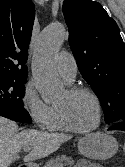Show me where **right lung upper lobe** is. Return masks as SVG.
<instances>
[{"instance_id": "1", "label": "right lung upper lobe", "mask_w": 125, "mask_h": 167, "mask_svg": "<svg viewBox=\"0 0 125 167\" xmlns=\"http://www.w3.org/2000/svg\"><path fill=\"white\" fill-rule=\"evenodd\" d=\"M34 17L31 0H0V78H26Z\"/></svg>"}]
</instances>
